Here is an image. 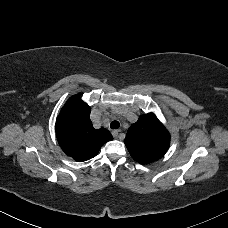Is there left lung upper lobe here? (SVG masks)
I'll return each mask as SVG.
<instances>
[{"mask_svg": "<svg viewBox=\"0 0 228 228\" xmlns=\"http://www.w3.org/2000/svg\"><path fill=\"white\" fill-rule=\"evenodd\" d=\"M124 142L135 161L147 164L164 156L170 134L153 113H148L128 129Z\"/></svg>", "mask_w": 228, "mask_h": 228, "instance_id": "5c2ea615", "label": "left lung upper lobe"}]
</instances>
